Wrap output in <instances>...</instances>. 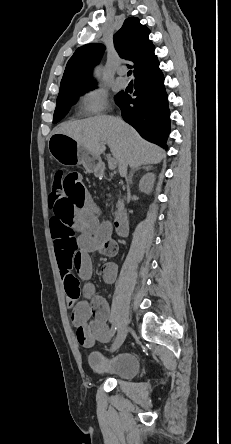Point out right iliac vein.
<instances>
[{"mask_svg": "<svg viewBox=\"0 0 231 444\" xmlns=\"http://www.w3.org/2000/svg\"><path fill=\"white\" fill-rule=\"evenodd\" d=\"M127 330H128L127 323H125V322L121 323L119 330H118L117 338L110 350L112 353L117 351L119 349V347L122 345V343L124 342L126 335H127Z\"/></svg>", "mask_w": 231, "mask_h": 444, "instance_id": "63e3f726", "label": "right iliac vein"}]
</instances>
